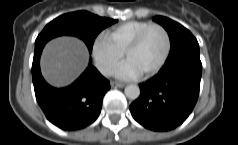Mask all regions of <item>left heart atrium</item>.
<instances>
[{"mask_svg": "<svg viewBox=\"0 0 238 145\" xmlns=\"http://www.w3.org/2000/svg\"><path fill=\"white\" fill-rule=\"evenodd\" d=\"M139 70L130 62H124L115 72V76L122 80H131L140 76Z\"/></svg>", "mask_w": 238, "mask_h": 145, "instance_id": "left-heart-atrium-1", "label": "left heart atrium"}]
</instances>
